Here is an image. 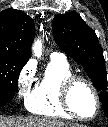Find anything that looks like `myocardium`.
<instances>
[{
  "label": "myocardium",
  "mask_w": 108,
  "mask_h": 127,
  "mask_svg": "<svg viewBox=\"0 0 108 127\" xmlns=\"http://www.w3.org/2000/svg\"><path fill=\"white\" fill-rule=\"evenodd\" d=\"M79 83L84 84L92 92L95 98V111L89 117H85L79 114L72 104V91L75 88V86ZM61 101L63 107L67 110V112L70 113L73 117H76L80 120H91L95 118L100 109V97L96 87L90 80L81 75L72 74L63 82L61 87Z\"/></svg>",
  "instance_id": "f54148a6"
}]
</instances>
